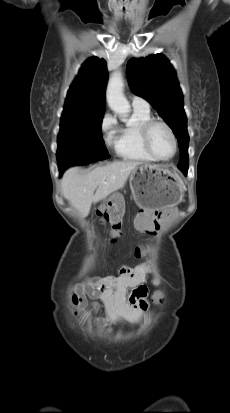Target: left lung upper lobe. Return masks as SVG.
<instances>
[{
  "instance_id": "left-lung-upper-lobe-1",
  "label": "left lung upper lobe",
  "mask_w": 230,
  "mask_h": 413,
  "mask_svg": "<svg viewBox=\"0 0 230 413\" xmlns=\"http://www.w3.org/2000/svg\"><path fill=\"white\" fill-rule=\"evenodd\" d=\"M127 73L133 92L146 99L173 130L180 148L178 168L188 171L187 118L173 66L164 55L155 54L131 59L127 63Z\"/></svg>"
}]
</instances>
